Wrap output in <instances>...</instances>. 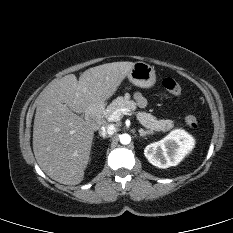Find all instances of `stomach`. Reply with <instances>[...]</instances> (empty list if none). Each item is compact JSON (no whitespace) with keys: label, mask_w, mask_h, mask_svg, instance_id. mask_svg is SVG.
Listing matches in <instances>:
<instances>
[{"label":"stomach","mask_w":233,"mask_h":233,"mask_svg":"<svg viewBox=\"0 0 233 233\" xmlns=\"http://www.w3.org/2000/svg\"><path fill=\"white\" fill-rule=\"evenodd\" d=\"M129 81L141 88H150L156 82L155 70L145 62H136L127 75Z\"/></svg>","instance_id":"obj_1"}]
</instances>
